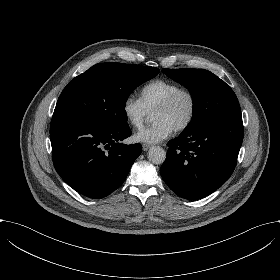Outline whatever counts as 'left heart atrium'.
<instances>
[{
	"label": "left heart atrium",
	"mask_w": 280,
	"mask_h": 280,
	"mask_svg": "<svg viewBox=\"0 0 280 280\" xmlns=\"http://www.w3.org/2000/svg\"><path fill=\"white\" fill-rule=\"evenodd\" d=\"M175 128L165 120L154 121L150 126L140 129L133 134L135 142L156 144L171 136Z\"/></svg>",
	"instance_id": "39dd6f15"
}]
</instances>
